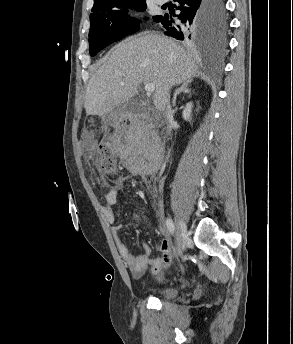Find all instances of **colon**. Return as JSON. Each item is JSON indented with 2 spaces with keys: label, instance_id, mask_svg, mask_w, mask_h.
<instances>
[{
  "label": "colon",
  "instance_id": "1",
  "mask_svg": "<svg viewBox=\"0 0 293 344\" xmlns=\"http://www.w3.org/2000/svg\"><path fill=\"white\" fill-rule=\"evenodd\" d=\"M84 137L89 138V134L84 133ZM97 164L102 172L112 175L117 174V164L110 143L106 142L99 145Z\"/></svg>",
  "mask_w": 293,
  "mask_h": 344
}]
</instances>
